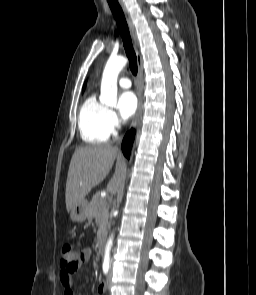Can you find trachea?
Here are the masks:
<instances>
[{
	"mask_svg": "<svg viewBox=\"0 0 256 295\" xmlns=\"http://www.w3.org/2000/svg\"><path fill=\"white\" fill-rule=\"evenodd\" d=\"M107 1L118 25V28L123 40L124 49L129 59L130 70L134 75H136L137 74V58L133 49L129 28H128L123 10L117 0H107Z\"/></svg>",
	"mask_w": 256,
	"mask_h": 295,
	"instance_id": "trachea-1",
	"label": "trachea"
}]
</instances>
